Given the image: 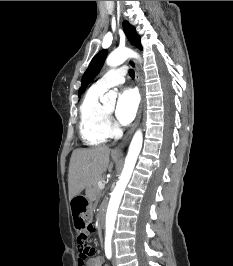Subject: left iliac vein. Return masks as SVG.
Instances as JSON below:
<instances>
[{
  "label": "left iliac vein",
  "mask_w": 233,
  "mask_h": 266,
  "mask_svg": "<svg viewBox=\"0 0 233 266\" xmlns=\"http://www.w3.org/2000/svg\"><path fill=\"white\" fill-rule=\"evenodd\" d=\"M112 250H113V255H114V252H115V249H114V247H113V249H112ZM116 264H117V263H116V259L113 257V266H116Z\"/></svg>",
  "instance_id": "4c4485c4"
}]
</instances>
